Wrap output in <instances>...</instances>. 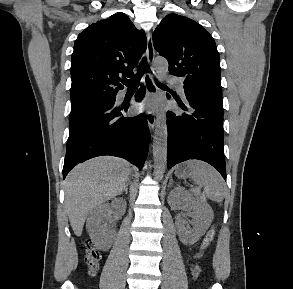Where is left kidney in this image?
Here are the masks:
<instances>
[{"label":"left kidney","mask_w":293,"mask_h":289,"mask_svg":"<svg viewBox=\"0 0 293 289\" xmlns=\"http://www.w3.org/2000/svg\"><path fill=\"white\" fill-rule=\"evenodd\" d=\"M170 205H185L192 209L193 227H186L185 222L177 224L178 236L182 243L192 245L208 230L214 218L209 204L200 198L194 197L184 188L178 187L171 192Z\"/></svg>","instance_id":"1"}]
</instances>
